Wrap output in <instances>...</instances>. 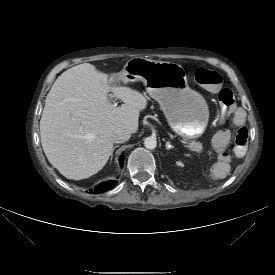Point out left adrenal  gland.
<instances>
[{"label":"left adrenal gland","instance_id":"obj_1","mask_svg":"<svg viewBox=\"0 0 275 275\" xmlns=\"http://www.w3.org/2000/svg\"><path fill=\"white\" fill-rule=\"evenodd\" d=\"M169 148H174V146L171 145L170 142H166V149H169Z\"/></svg>","mask_w":275,"mask_h":275}]
</instances>
